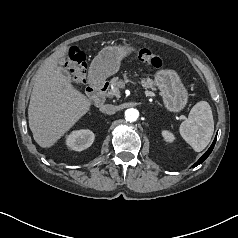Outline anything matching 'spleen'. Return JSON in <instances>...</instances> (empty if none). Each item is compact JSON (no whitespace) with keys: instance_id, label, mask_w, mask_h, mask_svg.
<instances>
[{"instance_id":"obj_1","label":"spleen","mask_w":238,"mask_h":238,"mask_svg":"<svg viewBox=\"0 0 238 238\" xmlns=\"http://www.w3.org/2000/svg\"><path fill=\"white\" fill-rule=\"evenodd\" d=\"M214 132V120L208 102L200 101L191 109L188 118L179 127L181 137L196 152H201L210 143Z\"/></svg>"}]
</instances>
